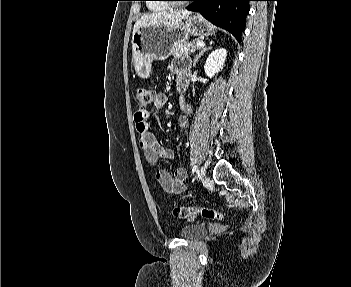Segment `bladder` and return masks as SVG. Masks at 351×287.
Instances as JSON below:
<instances>
[{
	"instance_id": "31cf9c89",
	"label": "bladder",
	"mask_w": 351,
	"mask_h": 287,
	"mask_svg": "<svg viewBox=\"0 0 351 287\" xmlns=\"http://www.w3.org/2000/svg\"><path fill=\"white\" fill-rule=\"evenodd\" d=\"M206 233V227L201 224H187L179 230V235L186 239H196Z\"/></svg>"
}]
</instances>
